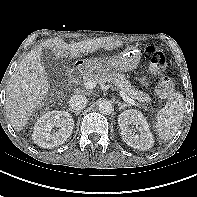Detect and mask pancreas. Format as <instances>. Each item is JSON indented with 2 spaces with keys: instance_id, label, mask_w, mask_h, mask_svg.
<instances>
[{
  "instance_id": "cf45deb5",
  "label": "pancreas",
  "mask_w": 197,
  "mask_h": 197,
  "mask_svg": "<svg viewBox=\"0 0 197 197\" xmlns=\"http://www.w3.org/2000/svg\"><path fill=\"white\" fill-rule=\"evenodd\" d=\"M93 80L101 83H110L115 85L119 90L123 91L128 97L133 100H137L140 103H149L151 101L150 96L142 91L136 90L131 86L130 81L120 73L117 72H97L89 74L84 81Z\"/></svg>"
}]
</instances>
